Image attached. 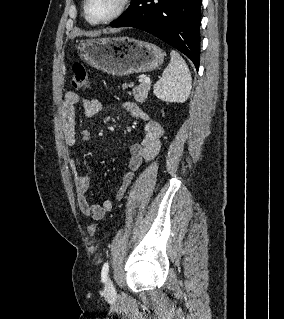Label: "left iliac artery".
<instances>
[{
  "instance_id": "left-iliac-artery-1",
  "label": "left iliac artery",
  "mask_w": 284,
  "mask_h": 319,
  "mask_svg": "<svg viewBox=\"0 0 284 319\" xmlns=\"http://www.w3.org/2000/svg\"><path fill=\"white\" fill-rule=\"evenodd\" d=\"M108 271H109V263L105 262L103 267H102V271H101L102 282H105L107 280Z\"/></svg>"
}]
</instances>
